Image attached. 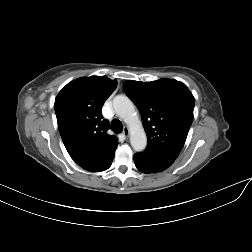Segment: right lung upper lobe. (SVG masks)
Listing matches in <instances>:
<instances>
[{
    "label": "right lung upper lobe",
    "mask_w": 252,
    "mask_h": 252,
    "mask_svg": "<svg viewBox=\"0 0 252 252\" xmlns=\"http://www.w3.org/2000/svg\"><path fill=\"white\" fill-rule=\"evenodd\" d=\"M116 88L106 76H92L68 83L57 95L54 109L58 129L71 158L82 168L100 172L112 164L118 140L108 135L109 122L101 109Z\"/></svg>",
    "instance_id": "obj_1"
}]
</instances>
